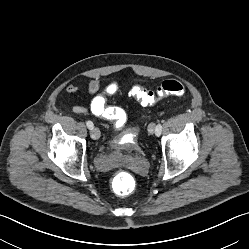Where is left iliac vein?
<instances>
[{"instance_id":"obj_1","label":"left iliac vein","mask_w":249,"mask_h":249,"mask_svg":"<svg viewBox=\"0 0 249 249\" xmlns=\"http://www.w3.org/2000/svg\"><path fill=\"white\" fill-rule=\"evenodd\" d=\"M148 132L150 134H154L155 133V125L153 123H151L149 126H148Z\"/></svg>"}]
</instances>
